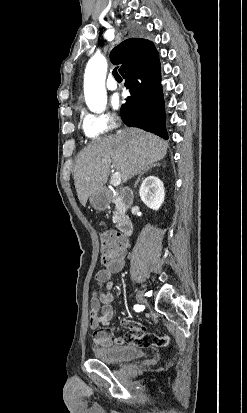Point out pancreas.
<instances>
[{"instance_id": "cf45deb5", "label": "pancreas", "mask_w": 247, "mask_h": 413, "mask_svg": "<svg viewBox=\"0 0 247 413\" xmlns=\"http://www.w3.org/2000/svg\"><path fill=\"white\" fill-rule=\"evenodd\" d=\"M112 196H113V194H112ZM115 196H116V194H115ZM113 202H116V198H113ZM117 221H119L118 213H117V211H114L113 223H117Z\"/></svg>"}]
</instances>
